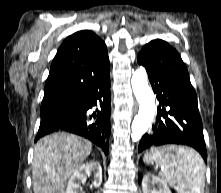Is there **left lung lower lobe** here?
<instances>
[{"instance_id": "left-lung-lower-lobe-1", "label": "left lung lower lobe", "mask_w": 221, "mask_h": 193, "mask_svg": "<svg viewBox=\"0 0 221 193\" xmlns=\"http://www.w3.org/2000/svg\"><path fill=\"white\" fill-rule=\"evenodd\" d=\"M138 63L146 68L159 100L156 123L152 132L142 137L138 152L153 146L186 145L196 149L206 162L197 96L179 53L172 47L151 41L139 53Z\"/></svg>"}]
</instances>
